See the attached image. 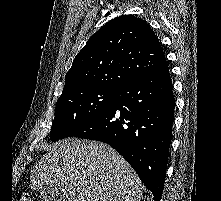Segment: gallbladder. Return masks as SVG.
I'll return each instance as SVG.
<instances>
[{"label": "gallbladder", "instance_id": "gallbladder-1", "mask_svg": "<svg viewBox=\"0 0 221 201\" xmlns=\"http://www.w3.org/2000/svg\"><path fill=\"white\" fill-rule=\"evenodd\" d=\"M40 196L44 201H65L66 192L58 185H47L41 188Z\"/></svg>", "mask_w": 221, "mask_h": 201}]
</instances>
